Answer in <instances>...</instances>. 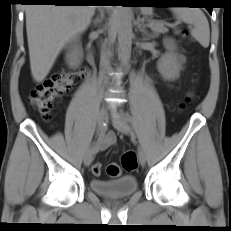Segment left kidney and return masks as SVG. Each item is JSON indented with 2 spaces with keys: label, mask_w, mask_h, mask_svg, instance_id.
I'll return each mask as SVG.
<instances>
[{
  "label": "left kidney",
  "mask_w": 231,
  "mask_h": 231,
  "mask_svg": "<svg viewBox=\"0 0 231 231\" xmlns=\"http://www.w3.org/2000/svg\"><path fill=\"white\" fill-rule=\"evenodd\" d=\"M164 46L167 51L158 60L157 69L165 80L174 81L179 77L186 58L175 52L176 47L172 39H165Z\"/></svg>",
  "instance_id": "obj_1"
}]
</instances>
